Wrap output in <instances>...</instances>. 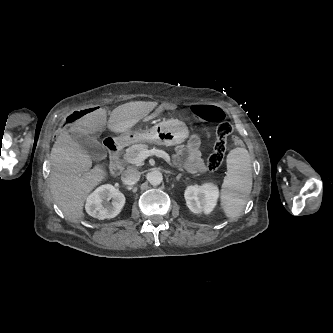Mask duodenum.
<instances>
[{"label": "duodenum", "instance_id": "410a0bca", "mask_svg": "<svg viewBox=\"0 0 333 333\" xmlns=\"http://www.w3.org/2000/svg\"><path fill=\"white\" fill-rule=\"evenodd\" d=\"M107 149L109 151V155L111 158V173L113 175H117L121 172L122 166L119 163L118 154L120 149V144L115 141H108L107 142Z\"/></svg>", "mask_w": 333, "mask_h": 333}]
</instances>
